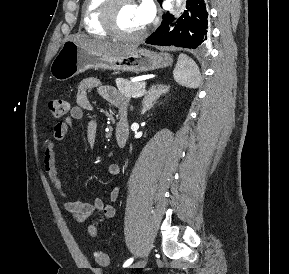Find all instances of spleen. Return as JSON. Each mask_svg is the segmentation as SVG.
Segmentation results:
<instances>
[{"mask_svg": "<svg viewBox=\"0 0 289 274\" xmlns=\"http://www.w3.org/2000/svg\"><path fill=\"white\" fill-rule=\"evenodd\" d=\"M175 81L185 87L196 88L200 84V71L197 64L187 55L180 54L173 71Z\"/></svg>", "mask_w": 289, "mask_h": 274, "instance_id": "1", "label": "spleen"}]
</instances>
